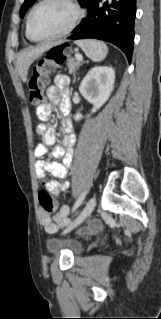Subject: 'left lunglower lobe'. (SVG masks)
<instances>
[{
	"label": "left lung lower lobe",
	"mask_w": 161,
	"mask_h": 319,
	"mask_svg": "<svg viewBox=\"0 0 161 319\" xmlns=\"http://www.w3.org/2000/svg\"><path fill=\"white\" fill-rule=\"evenodd\" d=\"M87 18L68 39L95 38L119 47L131 61L136 0H90Z\"/></svg>",
	"instance_id": "left-lung-lower-lobe-1"
}]
</instances>
